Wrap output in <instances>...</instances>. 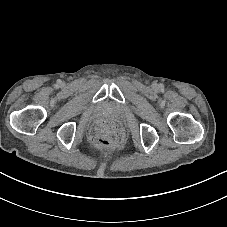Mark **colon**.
<instances>
[{
  "instance_id": "colon-1",
  "label": "colon",
  "mask_w": 227,
  "mask_h": 227,
  "mask_svg": "<svg viewBox=\"0 0 227 227\" xmlns=\"http://www.w3.org/2000/svg\"><path fill=\"white\" fill-rule=\"evenodd\" d=\"M123 130L116 123L103 121L98 129L91 133V142L100 148L117 146L123 140Z\"/></svg>"
}]
</instances>
